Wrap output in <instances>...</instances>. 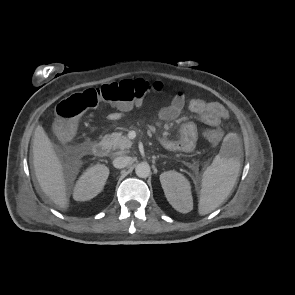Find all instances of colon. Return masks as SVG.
I'll use <instances>...</instances> for the list:
<instances>
[{
	"label": "colon",
	"instance_id": "obj_1",
	"mask_svg": "<svg viewBox=\"0 0 295 295\" xmlns=\"http://www.w3.org/2000/svg\"><path fill=\"white\" fill-rule=\"evenodd\" d=\"M160 90H162L160 83L151 84L143 79H124L74 93L57 105L55 134L61 141H68L76 131L78 119L87 110L101 104L132 109L140 105L151 92ZM204 135L209 142L217 145L224 133L218 126H212Z\"/></svg>",
	"mask_w": 295,
	"mask_h": 295
}]
</instances>
